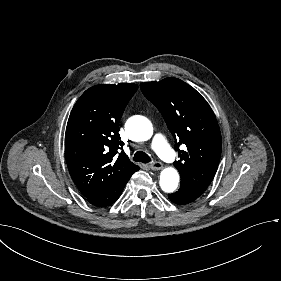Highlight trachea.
Here are the masks:
<instances>
[{
  "label": "trachea",
  "mask_w": 281,
  "mask_h": 281,
  "mask_svg": "<svg viewBox=\"0 0 281 281\" xmlns=\"http://www.w3.org/2000/svg\"><path fill=\"white\" fill-rule=\"evenodd\" d=\"M133 160L140 163H148L151 161L148 154L143 151H138L134 154Z\"/></svg>",
  "instance_id": "3493384b"
}]
</instances>
